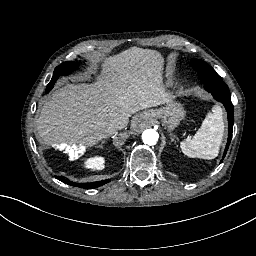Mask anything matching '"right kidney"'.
<instances>
[{"mask_svg":"<svg viewBox=\"0 0 256 256\" xmlns=\"http://www.w3.org/2000/svg\"><path fill=\"white\" fill-rule=\"evenodd\" d=\"M86 165L88 168L102 169L104 167V159L101 157L89 159Z\"/></svg>","mask_w":256,"mask_h":256,"instance_id":"1","label":"right kidney"}]
</instances>
